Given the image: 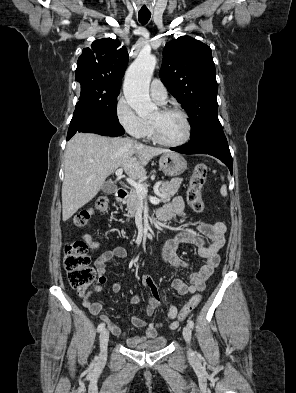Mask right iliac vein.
<instances>
[{
	"label": "right iliac vein",
	"mask_w": 296,
	"mask_h": 393,
	"mask_svg": "<svg viewBox=\"0 0 296 393\" xmlns=\"http://www.w3.org/2000/svg\"><path fill=\"white\" fill-rule=\"evenodd\" d=\"M108 340L109 331L107 329H103L100 333V359L106 358Z\"/></svg>",
	"instance_id": "right-iliac-vein-1"
}]
</instances>
